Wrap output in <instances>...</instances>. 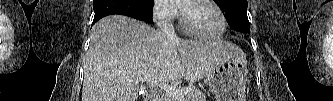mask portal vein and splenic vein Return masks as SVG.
I'll use <instances>...</instances> for the list:
<instances>
[{"instance_id": "1", "label": "portal vein and splenic vein", "mask_w": 333, "mask_h": 101, "mask_svg": "<svg viewBox=\"0 0 333 101\" xmlns=\"http://www.w3.org/2000/svg\"><path fill=\"white\" fill-rule=\"evenodd\" d=\"M142 81H146L150 83L151 85L158 86L162 90H164L166 93H169L179 101L184 100V96L187 95L190 92V88H184V89H177L176 87L170 86L167 83L159 80L154 75H147L141 78Z\"/></svg>"}]
</instances>
